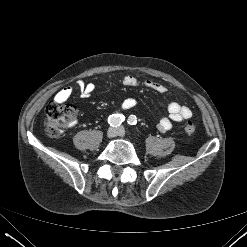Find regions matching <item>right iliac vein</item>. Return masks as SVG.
<instances>
[{
  "label": "right iliac vein",
  "mask_w": 247,
  "mask_h": 247,
  "mask_svg": "<svg viewBox=\"0 0 247 247\" xmlns=\"http://www.w3.org/2000/svg\"><path fill=\"white\" fill-rule=\"evenodd\" d=\"M117 135V129L116 128H113V127H110L107 131V137L108 138H113Z\"/></svg>",
  "instance_id": "1"
}]
</instances>
